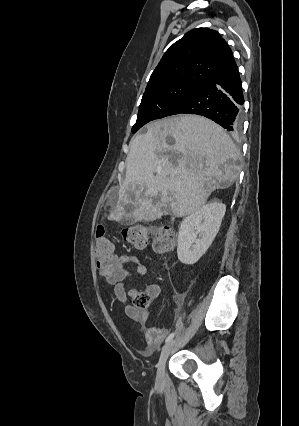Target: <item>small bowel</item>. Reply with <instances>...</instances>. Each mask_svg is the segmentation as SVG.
<instances>
[{"label": "small bowel", "instance_id": "c3829d8e", "mask_svg": "<svg viewBox=\"0 0 299 426\" xmlns=\"http://www.w3.org/2000/svg\"><path fill=\"white\" fill-rule=\"evenodd\" d=\"M118 270L111 271L102 267L97 262V270L99 276L103 277L108 285L114 286L116 298L124 305L126 315L134 322L144 327L148 321L149 313L147 311H138L136 308L128 305L126 281L132 276L131 271L124 268L125 265H131L137 274L141 276L148 275V269L143 262L133 254L122 253L117 256ZM149 293L152 298L156 299L160 295V288L157 285L149 286ZM168 334V329L164 326H153L146 332V346L142 351L144 355H150L164 340Z\"/></svg>", "mask_w": 299, "mask_h": 426}]
</instances>
